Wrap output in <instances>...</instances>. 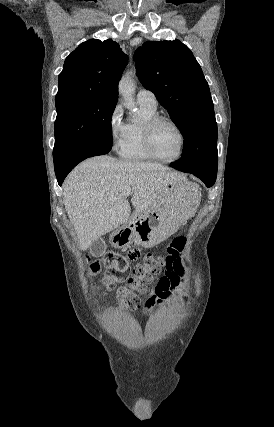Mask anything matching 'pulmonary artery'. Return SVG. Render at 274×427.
<instances>
[{"label":"pulmonary artery","instance_id":"e3ab8cb5","mask_svg":"<svg viewBox=\"0 0 274 427\" xmlns=\"http://www.w3.org/2000/svg\"><path fill=\"white\" fill-rule=\"evenodd\" d=\"M136 101L139 106L149 109H157V99L155 95L149 90L141 89L136 95Z\"/></svg>","mask_w":274,"mask_h":427}]
</instances>
